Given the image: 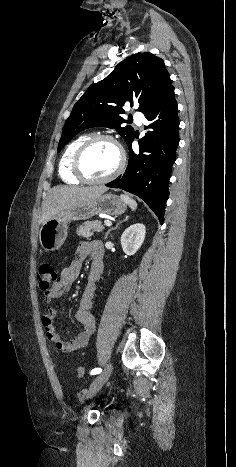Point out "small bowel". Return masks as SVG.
Instances as JSON below:
<instances>
[{"instance_id":"c3829d8e","label":"small bowel","mask_w":236,"mask_h":467,"mask_svg":"<svg viewBox=\"0 0 236 467\" xmlns=\"http://www.w3.org/2000/svg\"><path fill=\"white\" fill-rule=\"evenodd\" d=\"M103 254L104 250L100 242H81L76 249L74 260L62 270L60 279L54 288L46 292L45 305L47 310L42 317L45 336L49 342L53 343L62 352L70 353L86 347L95 331V319L90 309L95 293V282L103 270ZM86 258H90L91 261L89 282L84 289L79 308L75 313V317L83 329L74 339L67 341L57 333L54 327L53 319L57 314V308L51 304V301L64 296L71 290L73 283L80 275L83 261ZM93 273H95V278H92Z\"/></svg>"}]
</instances>
